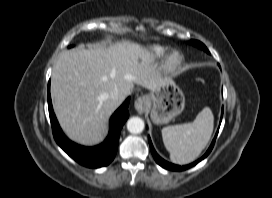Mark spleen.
<instances>
[{
  "mask_svg": "<svg viewBox=\"0 0 272 198\" xmlns=\"http://www.w3.org/2000/svg\"><path fill=\"white\" fill-rule=\"evenodd\" d=\"M214 127V116L205 107L193 122L164 127L162 139L170 160L179 165L194 161L206 147Z\"/></svg>",
  "mask_w": 272,
  "mask_h": 198,
  "instance_id": "spleen-1",
  "label": "spleen"
}]
</instances>
